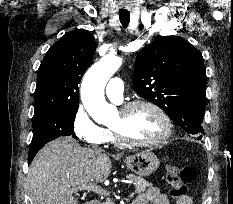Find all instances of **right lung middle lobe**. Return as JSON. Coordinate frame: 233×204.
Masks as SVG:
<instances>
[{"mask_svg":"<svg viewBox=\"0 0 233 204\" xmlns=\"http://www.w3.org/2000/svg\"><path fill=\"white\" fill-rule=\"evenodd\" d=\"M79 105L70 107H53L34 112L33 139L30 148L43 147L47 142L59 136H72L74 119Z\"/></svg>","mask_w":233,"mask_h":204,"instance_id":"1","label":"right lung middle lobe"}]
</instances>
